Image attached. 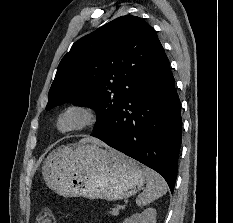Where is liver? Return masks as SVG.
<instances>
[{
  "instance_id": "liver-1",
  "label": "liver",
  "mask_w": 233,
  "mask_h": 223,
  "mask_svg": "<svg viewBox=\"0 0 233 223\" xmlns=\"http://www.w3.org/2000/svg\"><path fill=\"white\" fill-rule=\"evenodd\" d=\"M81 141H94V143H101V145H105L103 141H100V139H96V137H83Z\"/></svg>"
}]
</instances>
